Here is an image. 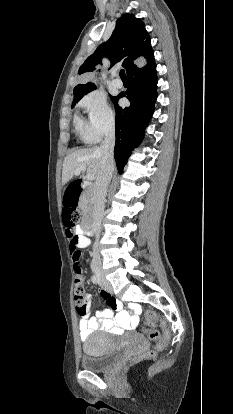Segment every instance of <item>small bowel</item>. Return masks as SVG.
<instances>
[{
	"instance_id": "small-bowel-1",
	"label": "small bowel",
	"mask_w": 233,
	"mask_h": 414,
	"mask_svg": "<svg viewBox=\"0 0 233 414\" xmlns=\"http://www.w3.org/2000/svg\"><path fill=\"white\" fill-rule=\"evenodd\" d=\"M76 242L79 248H86L90 244L89 238L80 232H76ZM71 260L76 278H81L82 268L79 262V252H74ZM102 296L110 308L104 310L100 316L91 317L90 315L92 299L90 294L86 295L87 301L75 307L78 313H82L78 318L80 336L83 341L97 329L120 333L123 330L133 329L138 324L140 306L135 300L128 301L126 309H123L122 303L113 296L106 292H102Z\"/></svg>"
}]
</instances>
